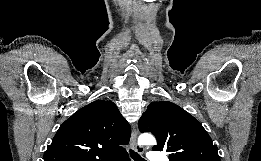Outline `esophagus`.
Instances as JSON below:
<instances>
[{"label":"esophagus","mask_w":261,"mask_h":161,"mask_svg":"<svg viewBox=\"0 0 261 161\" xmlns=\"http://www.w3.org/2000/svg\"><path fill=\"white\" fill-rule=\"evenodd\" d=\"M130 144L135 151L141 154L144 153V147L137 144V130L135 128L133 129L131 134Z\"/></svg>","instance_id":"1"}]
</instances>
